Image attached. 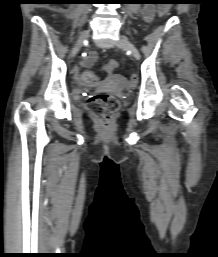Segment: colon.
I'll return each instance as SVG.
<instances>
[{
  "mask_svg": "<svg viewBox=\"0 0 218 257\" xmlns=\"http://www.w3.org/2000/svg\"><path fill=\"white\" fill-rule=\"evenodd\" d=\"M172 6V2H161V5H158L159 11H157V16H162V19H165V13L166 15H169ZM161 23H164V20H161ZM116 67V61L111 60L107 62L103 69L105 76L96 74V70H90L89 67H82L79 69V72L82 74L80 75L81 80H78V85L88 84V87H95L96 90H101L102 86L96 81L104 77L106 79H111L112 75H117L118 71ZM130 82L131 84L137 82L136 74L131 76ZM87 106L93 116H95L104 126H109L111 120L119 111L120 102L114 95L105 91H99L90 96Z\"/></svg>",
  "mask_w": 218,
  "mask_h": 257,
  "instance_id": "obj_1",
  "label": "colon"
}]
</instances>
